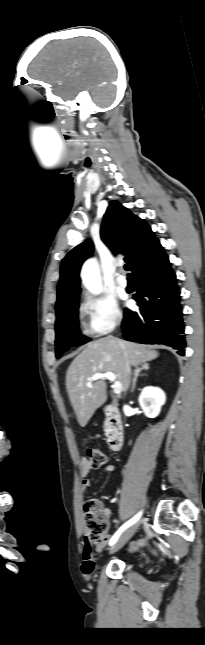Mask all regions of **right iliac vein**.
<instances>
[{
  "instance_id": "right-iliac-vein-1",
  "label": "right iliac vein",
  "mask_w": 205,
  "mask_h": 645,
  "mask_svg": "<svg viewBox=\"0 0 205 645\" xmlns=\"http://www.w3.org/2000/svg\"><path fill=\"white\" fill-rule=\"evenodd\" d=\"M141 524V521H138L131 525L121 536L120 538L114 543V545L110 548L109 553L114 554L115 552L119 551L135 534L137 529L139 528Z\"/></svg>"
}]
</instances>
